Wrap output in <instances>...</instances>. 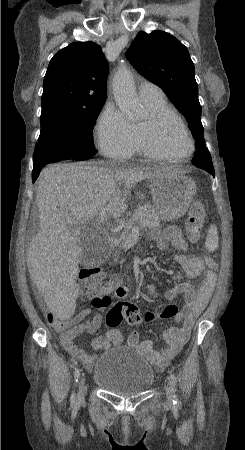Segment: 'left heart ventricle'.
Listing matches in <instances>:
<instances>
[{
	"mask_svg": "<svg viewBox=\"0 0 245 450\" xmlns=\"http://www.w3.org/2000/svg\"><path fill=\"white\" fill-rule=\"evenodd\" d=\"M156 141L160 149L168 155L180 156L190 151V143L185 133L173 121L165 122L156 136Z\"/></svg>",
	"mask_w": 245,
	"mask_h": 450,
	"instance_id": "1",
	"label": "left heart ventricle"
}]
</instances>
